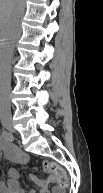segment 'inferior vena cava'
<instances>
[{"label": "inferior vena cava", "mask_w": 103, "mask_h": 193, "mask_svg": "<svg viewBox=\"0 0 103 193\" xmlns=\"http://www.w3.org/2000/svg\"><path fill=\"white\" fill-rule=\"evenodd\" d=\"M23 3V0H21ZM22 10V4H21ZM19 34V20L15 17L5 40L1 44L0 55V116L11 117L10 104V83H11V62L13 57L15 40Z\"/></svg>", "instance_id": "1"}]
</instances>
